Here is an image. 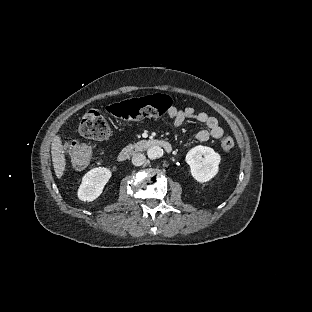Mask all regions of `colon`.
Segmentation results:
<instances>
[{
	"label": "colon",
	"instance_id": "5ec220e1",
	"mask_svg": "<svg viewBox=\"0 0 312 312\" xmlns=\"http://www.w3.org/2000/svg\"><path fill=\"white\" fill-rule=\"evenodd\" d=\"M174 101L170 95H148L138 99H129L111 105L109 113L119 121L134 122L145 118H158L173 107ZM78 132L92 139H105L110 134V124L101 111H87L79 120ZM224 151H230L235 146L233 137H225L221 142ZM64 148L69 151L75 164L84 167L91 159V149L85 145L67 141Z\"/></svg>",
	"mask_w": 312,
	"mask_h": 312
}]
</instances>
